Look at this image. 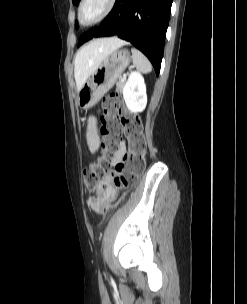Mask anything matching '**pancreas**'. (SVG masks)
<instances>
[{
  "label": "pancreas",
  "mask_w": 247,
  "mask_h": 304,
  "mask_svg": "<svg viewBox=\"0 0 247 304\" xmlns=\"http://www.w3.org/2000/svg\"><path fill=\"white\" fill-rule=\"evenodd\" d=\"M124 84H125V80L118 81L116 83V91L121 92L122 89H123Z\"/></svg>",
  "instance_id": "cf45deb5"
}]
</instances>
